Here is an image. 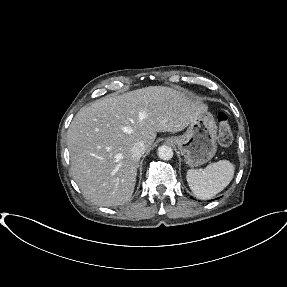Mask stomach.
<instances>
[{"label": "stomach", "mask_w": 287, "mask_h": 287, "mask_svg": "<svg viewBox=\"0 0 287 287\" xmlns=\"http://www.w3.org/2000/svg\"><path fill=\"white\" fill-rule=\"evenodd\" d=\"M217 126L211 113L203 111L188 124L181 136L168 140L177 145L186 164L197 167L211 160L217 150Z\"/></svg>", "instance_id": "0dacf381"}]
</instances>
